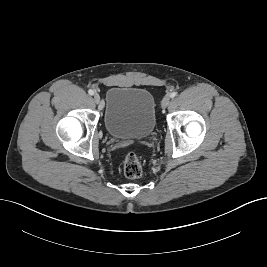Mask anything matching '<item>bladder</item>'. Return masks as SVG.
Masks as SVG:
<instances>
[{"mask_svg": "<svg viewBox=\"0 0 267 267\" xmlns=\"http://www.w3.org/2000/svg\"><path fill=\"white\" fill-rule=\"evenodd\" d=\"M103 122L106 131L117 139L150 136L156 125V105L152 93L139 87L109 88Z\"/></svg>", "mask_w": 267, "mask_h": 267, "instance_id": "bladder-1", "label": "bladder"}]
</instances>
